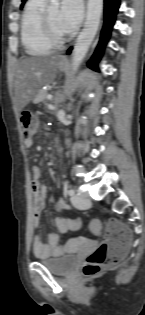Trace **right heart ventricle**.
I'll list each match as a JSON object with an SVG mask.
<instances>
[{"label":"right heart ventricle","instance_id":"obj_1","mask_svg":"<svg viewBox=\"0 0 145 315\" xmlns=\"http://www.w3.org/2000/svg\"><path fill=\"white\" fill-rule=\"evenodd\" d=\"M43 12L42 0H29L22 14L21 41L29 55H46L53 49L42 31Z\"/></svg>","mask_w":145,"mask_h":315}]
</instances>
